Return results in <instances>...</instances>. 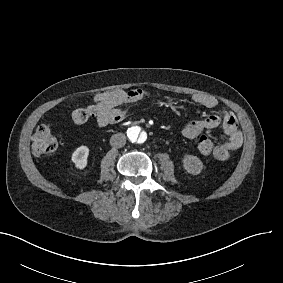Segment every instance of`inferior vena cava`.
<instances>
[{"instance_id": "inferior-vena-cava-1", "label": "inferior vena cava", "mask_w": 283, "mask_h": 283, "mask_svg": "<svg viewBox=\"0 0 283 283\" xmlns=\"http://www.w3.org/2000/svg\"><path fill=\"white\" fill-rule=\"evenodd\" d=\"M126 144V136L124 133H116L110 138V145L115 148L124 147Z\"/></svg>"}]
</instances>
